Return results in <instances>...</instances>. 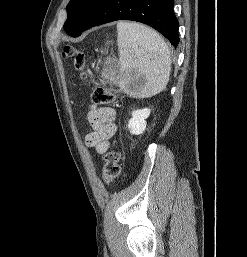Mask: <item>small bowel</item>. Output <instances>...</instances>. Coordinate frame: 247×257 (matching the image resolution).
<instances>
[{
	"label": "small bowel",
	"instance_id": "1",
	"mask_svg": "<svg viewBox=\"0 0 247 257\" xmlns=\"http://www.w3.org/2000/svg\"><path fill=\"white\" fill-rule=\"evenodd\" d=\"M87 118L91 129L85 137V145L102 154L116 132V111L111 107L92 106Z\"/></svg>",
	"mask_w": 247,
	"mask_h": 257
}]
</instances>
